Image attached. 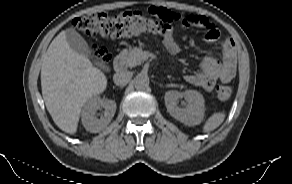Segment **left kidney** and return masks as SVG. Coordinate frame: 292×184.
Masks as SVG:
<instances>
[{
	"label": "left kidney",
	"instance_id": "5707ae66",
	"mask_svg": "<svg viewBox=\"0 0 292 184\" xmlns=\"http://www.w3.org/2000/svg\"><path fill=\"white\" fill-rule=\"evenodd\" d=\"M184 96L188 101L186 108L177 106V99ZM165 105L169 114L176 120L188 126L201 123L204 117L205 104L202 94L196 90H187L180 93L175 90L167 91L164 96Z\"/></svg>",
	"mask_w": 292,
	"mask_h": 184
}]
</instances>
